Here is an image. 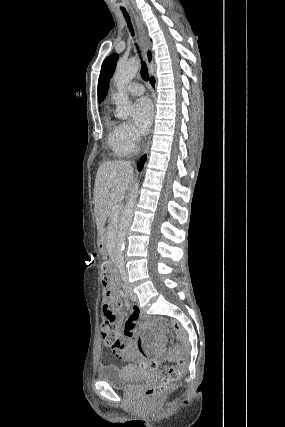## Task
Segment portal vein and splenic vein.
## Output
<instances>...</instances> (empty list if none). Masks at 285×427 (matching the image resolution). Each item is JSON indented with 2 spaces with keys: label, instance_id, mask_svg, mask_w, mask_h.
I'll list each match as a JSON object with an SVG mask.
<instances>
[{
  "label": "portal vein and splenic vein",
  "instance_id": "obj_1",
  "mask_svg": "<svg viewBox=\"0 0 285 427\" xmlns=\"http://www.w3.org/2000/svg\"><path fill=\"white\" fill-rule=\"evenodd\" d=\"M118 214H119V206L116 205V206L113 207V210H112V215H113V219L114 220L117 219Z\"/></svg>",
  "mask_w": 285,
  "mask_h": 427
}]
</instances>
